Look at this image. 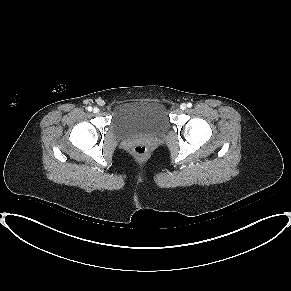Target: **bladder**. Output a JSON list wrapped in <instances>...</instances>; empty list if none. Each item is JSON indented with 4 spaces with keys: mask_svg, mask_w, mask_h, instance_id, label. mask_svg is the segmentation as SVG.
Masks as SVG:
<instances>
[{
    "mask_svg": "<svg viewBox=\"0 0 291 291\" xmlns=\"http://www.w3.org/2000/svg\"><path fill=\"white\" fill-rule=\"evenodd\" d=\"M169 126L168 111L160 101H128L117 105L112 113L111 128L120 137L139 133L155 134Z\"/></svg>",
    "mask_w": 291,
    "mask_h": 291,
    "instance_id": "obj_1",
    "label": "bladder"
}]
</instances>
